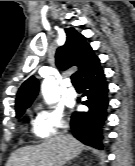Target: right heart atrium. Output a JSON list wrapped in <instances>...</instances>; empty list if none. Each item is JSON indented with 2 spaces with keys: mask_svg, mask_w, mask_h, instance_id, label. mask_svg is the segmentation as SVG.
<instances>
[{
  "mask_svg": "<svg viewBox=\"0 0 135 166\" xmlns=\"http://www.w3.org/2000/svg\"><path fill=\"white\" fill-rule=\"evenodd\" d=\"M66 122L61 109L54 106L37 105L33 122V134L38 139L57 135L65 128Z\"/></svg>",
  "mask_w": 135,
  "mask_h": 166,
  "instance_id": "1",
  "label": "right heart atrium"
}]
</instances>
